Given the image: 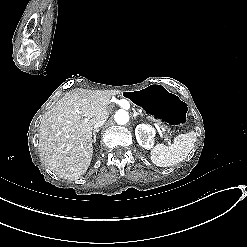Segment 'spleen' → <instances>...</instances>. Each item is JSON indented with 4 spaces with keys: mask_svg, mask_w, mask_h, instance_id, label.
Segmentation results:
<instances>
[{
    "mask_svg": "<svg viewBox=\"0 0 247 247\" xmlns=\"http://www.w3.org/2000/svg\"><path fill=\"white\" fill-rule=\"evenodd\" d=\"M196 134L181 133L173 139V146L156 144L150 151L151 162L159 167H169L183 161L196 143Z\"/></svg>",
    "mask_w": 247,
    "mask_h": 247,
    "instance_id": "1",
    "label": "spleen"
}]
</instances>
